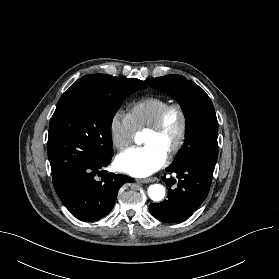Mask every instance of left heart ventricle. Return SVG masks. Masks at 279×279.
<instances>
[{
    "label": "left heart ventricle",
    "instance_id": "1",
    "mask_svg": "<svg viewBox=\"0 0 279 279\" xmlns=\"http://www.w3.org/2000/svg\"><path fill=\"white\" fill-rule=\"evenodd\" d=\"M181 120L176 111H172L163 126L158 132H146L143 137L144 144L153 145L168 155L169 151L175 145L179 132Z\"/></svg>",
    "mask_w": 279,
    "mask_h": 279
}]
</instances>
